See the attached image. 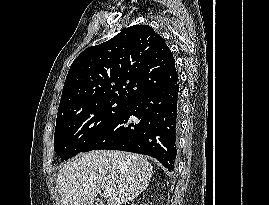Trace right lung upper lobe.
I'll use <instances>...</instances> for the list:
<instances>
[{"mask_svg": "<svg viewBox=\"0 0 269 205\" xmlns=\"http://www.w3.org/2000/svg\"><path fill=\"white\" fill-rule=\"evenodd\" d=\"M178 80L174 57L164 39L150 26L134 25L85 49L74 60L57 119L104 101L128 103Z\"/></svg>", "mask_w": 269, "mask_h": 205, "instance_id": "cb5924a9", "label": "right lung upper lobe"}]
</instances>
